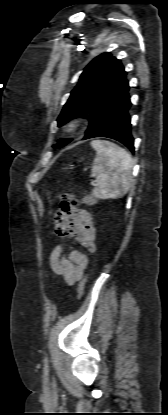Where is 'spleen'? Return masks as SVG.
<instances>
[{
	"label": "spleen",
	"instance_id": "1",
	"mask_svg": "<svg viewBox=\"0 0 168 415\" xmlns=\"http://www.w3.org/2000/svg\"><path fill=\"white\" fill-rule=\"evenodd\" d=\"M91 146L96 151L91 169V176L96 177L93 195L100 199L123 197L132 179L131 155L109 141L93 140Z\"/></svg>",
	"mask_w": 168,
	"mask_h": 415
}]
</instances>
